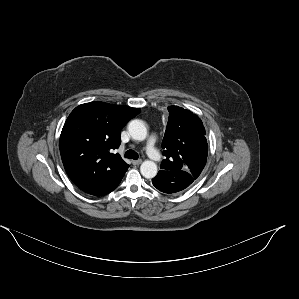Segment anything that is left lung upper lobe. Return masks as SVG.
<instances>
[{
    "mask_svg": "<svg viewBox=\"0 0 299 299\" xmlns=\"http://www.w3.org/2000/svg\"><path fill=\"white\" fill-rule=\"evenodd\" d=\"M169 121L163 138L162 170H183L194 180L205 167L208 144L201 119L189 110L169 106Z\"/></svg>",
    "mask_w": 299,
    "mask_h": 299,
    "instance_id": "1",
    "label": "left lung upper lobe"
}]
</instances>
